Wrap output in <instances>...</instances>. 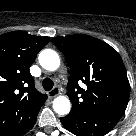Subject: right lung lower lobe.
Listing matches in <instances>:
<instances>
[{"mask_svg": "<svg viewBox=\"0 0 136 136\" xmlns=\"http://www.w3.org/2000/svg\"><path fill=\"white\" fill-rule=\"evenodd\" d=\"M36 121V120H35ZM35 121L33 122V124L28 128V130L26 131V132H28L32 127H33V125L35 124ZM25 132V133H26Z\"/></svg>", "mask_w": 136, "mask_h": 136, "instance_id": "1", "label": "right lung lower lobe"}]
</instances>
